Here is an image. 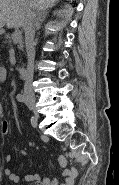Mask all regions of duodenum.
<instances>
[{
    "label": "duodenum",
    "mask_w": 119,
    "mask_h": 185,
    "mask_svg": "<svg viewBox=\"0 0 119 185\" xmlns=\"http://www.w3.org/2000/svg\"><path fill=\"white\" fill-rule=\"evenodd\" d=\"M19 75L22 79H26L28 77V70L25 67H20L18 69Z\"/></svg>",
    "instance_id": "410a0bca"
}]
</instances>
